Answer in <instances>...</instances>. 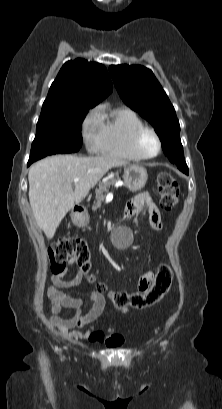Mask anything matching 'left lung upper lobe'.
Instances as JSON below:
<instances>
[{"label": "left lung upper lobe", "instance_id": "1", "mask_svg": "<svg viewBox=\"0 0 222 409\" xmlns=\"http://www.w3.org/2000/svg\"><path fill=\"white\" fill-rule=\"evenodd\" d=\"M109 72L125 104L152 124L165 155L187 174L179 121L174 107L152 71L140 65H111Z\"/></svg>", "mask_w": 222, "mask_h": 409}]
</instances>
